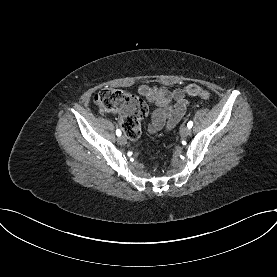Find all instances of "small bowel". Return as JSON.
I'll list each match as a JSON object with an SVG mask.
<instances>
[{
    "label": "small bowel",
    "instance_id": "small-bowel-1",
    "mask_svg": "<svg viewBox=\"0 0 277 277\" xmlns=\"http://www.w3.org/2000/svg\"><path fill=\"white\" fill-rule=\"evenodd\" d=\"M138 93L155 107L148 125L150 133L172 129L186 112L189 102L181 88L169 90L166 87L142 84Z\"/></svg>",
    "mask_w": 277,
    "mask_h": 277
}]
</instances>
